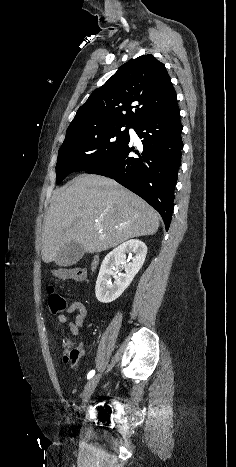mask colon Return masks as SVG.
Instances as JSON below:
<instances>
[{"label":"colon","mask_w":236,"mask_h":467,"mask_svg":"<svg viewBox=\"0 0 236 467\" xmlns=\"http://www.w3.org/2000/svg\"><path fill=\"white\" fill-rule=\"evenodd\" d=\"M53 276L58 280H83L85 270L81 267H59L54 270ZM47 305L49 312L56 315L65 309L66 301L53 288H50L47 294ZM64 346L66 351L63 355V360L70 368H75L78 363L80 349L73 347L69 340L64 341Z\"/></svg>","instance_id":"5ec220e1"}]
</instances>
